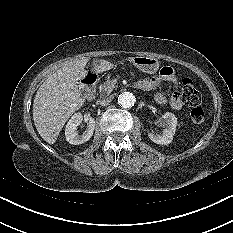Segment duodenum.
<instances>
[{
    "mask_svg": "<svg viewBox=\"0 0 233 233\" xmlns=\"http://www.w3.org/2000/svg\"><path fill=\"white\" fill-rule=\"evenodd\" d=\"M97 80L98 77L94 73H88L82 80L85 95L88 99H92L94 97ZM134 86L138 89L145 90V85L142 81L136 82Z\"/></svg>",
    "mask_w": 233,
    "mask_h": 233,
    "instance_id": "1",
    "label": "duodenum"
}]
</instances>
